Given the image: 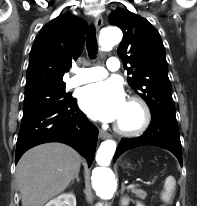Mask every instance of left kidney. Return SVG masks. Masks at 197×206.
I'll return each instance as SVG.
<instances>
[{
	"instance_id": "left-kidney-1",
	"label": "left kidney",
	"mask_w": 197,
	"mask_h": 206,
	"mask_svg": "<svg viewBox=\"0 0 197 206\" xmlns=\"http://www.w3.org/2000/svg\"><path fill=\"white\" fill-rule=\"evenodd\" d=\"M129 204V198L128 197H122L121 199V206H127ZM136 206H144L140 202H137Z\"/></svg>"
}]
</instances>
